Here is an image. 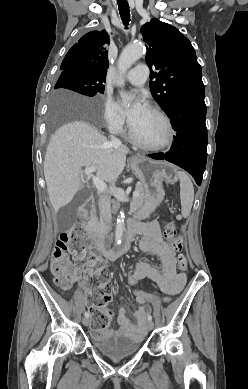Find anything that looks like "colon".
I'll return each mask as SVG.
<instances>
[{"instance_id":"1","label":"colon","mask_w":248,"mask_h":389,"mask_svg":"<svg viewBox=\"0 0 248 389\" xmlns=\"http://www.w3.org/2000/svg\"><path fill=\"white\" fill-rule=\"evenodd\" d=\"M164 233L166 238L171 239L176 251H180L182 240L174 239L176 229L173 220L165 224ZM70 255H73L72 259L74 261L87 260L90 264L89 271L84 274L87 284L93 286L92 292L94 293L89 300L91 305L88 306V311L92 312V330L101 334L108 330L112 319V312L103 309L104 303L109 302L111 299V290L107 289V283L111 273L102 263L96 250L90 245L82 229L80 227H73L60 233L50 265L54 282L61 288H68L73 281L80 277L78 269L69 261ZM187 266L186 257L184 254H179L178 270L185 272ZM128 272L125 274V279L132 291L130 293L132 298L149 301V306H163L164 303L170 302V295L162 298V295L155 294V291H145L144 288L135 289L137 287V279L132 277L131 273L133 269L129 268Z\"/></svg>"}]
</instances>
